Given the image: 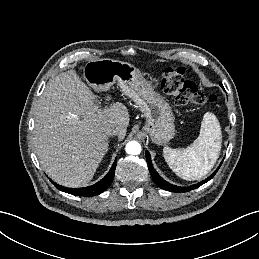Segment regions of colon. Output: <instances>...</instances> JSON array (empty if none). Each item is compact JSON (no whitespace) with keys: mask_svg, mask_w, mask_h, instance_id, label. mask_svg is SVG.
I'll list each match as a JSON object with an SVG mask.
<instances>
[{"mask_svg":"<svg viewBox=\"0 0 259 259\" xmlns=\"http://www.w3.org/2000/svg\"><path fill=\"white\" fill-rule=\"evenodd\" d=\"M184 74V67H169L161 82L163 91L171 95L178 105L199 108L217 100L216 95L203 94L194 82L185 79Z\"/></svg>","mask_w":259,"mask_h":259,"instance_id":"1","label":"colon"}]
</instances>
